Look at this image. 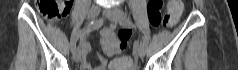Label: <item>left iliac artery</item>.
<instances>
[{
  "mask_svg": "<svg viewBox=\"0 0 238 70\" xmlns=\"http://www.w3.org/2000/svg\"><path fill=\"white\" fill-rule=\"evenodd\" d=\"M121 25L126 26V27L135 28L134 23H133L131 20L127 19L126 17H123V18H122ZM148 41H149V38H148V37H144V38H143V41H142L141 44H142V46H143L144 49L146 48L145 46L148 45Z\"/></svg>",
  "mask_w": 238,
  "mask_h": 70,
  "instance_id": "left-iliac-artery-1",
  "label": "left iliac artery"
}]
</instances>
